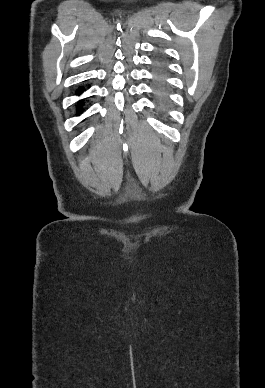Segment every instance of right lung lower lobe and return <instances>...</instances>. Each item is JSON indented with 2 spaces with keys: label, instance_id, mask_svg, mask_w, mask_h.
<instances>
[{
  "label": "right lung lower lobe",
  "instance_id": "obj_1",
  "mask_svg": "<svg viewBox=\"0 0 265 388\" xmlns=\"http://www.w3.org/2000/svg\"><path fill=\"white\" fill-rule=\"evenodd\" d=\"M83 92V89L79 88L77 94L80 95ZM77 110H81L80 106H78ZM77 115H79V112L77 111Z\"/></svg>",
  "mask_w": 265,
  "mask_h": 388
}]
</instances>
